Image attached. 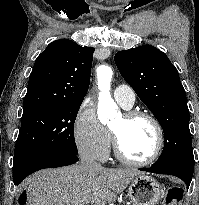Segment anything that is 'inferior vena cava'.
Returning a JSON list of instances; mask_svg holds the SVG:
<instances>
[{
	"label": "inferior vena cava",
	"mask_w": 199,
	"mask_h": 205,
	"mask_svg": "<svg viewBox=\"0 0 199 205\" xmlns=\"http://www.w3.org/2000/svg\"><path fill=\"white\" fill-rule=\"evenodd\" d=\"M80 165L86 170H99L102 168L101 164L97 163L88 152L80 154Z\"/></svg>",
	"instance_id": "602c4592"
}]
</instances>
